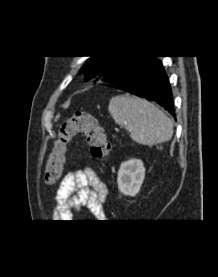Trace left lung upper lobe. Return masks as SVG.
Listing matches in <instances>:
<instances>
[{
  "instance_id": "obj_1",
  "label": "left lung upper lobe",
  "mask_w": 218,
  "mask_h": 277,
  "mask_svg": "<svg viewBox=\"0 0 218 277\" xmlns=\"http://www.w3.org/2000/svg\"><path fill=\"white\" fill-rule=\"evenodd\" d=\"M136 56H92L81 68L85 72L86 79L96 77V80L104 81L114 72L122 69Z\"/></svg>"
}]
</instances>
